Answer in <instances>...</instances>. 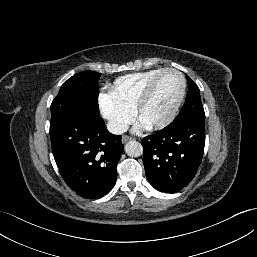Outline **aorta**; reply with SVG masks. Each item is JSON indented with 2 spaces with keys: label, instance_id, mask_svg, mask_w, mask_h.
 Wrapping results in <instances>:
<instances>
[{
  "label": "aorta",
  "instance_id": "762f6f07",
  "mask_svg": "<svg viewBox=\"0 0 257 257\" xmlns=\"http://www.w3.org/2000/svg\"><path fill=\"white\" fill-rule=\"evenodd\" d=\"M125 152L130 157H139L143 153V147H142L141 143H139L137 141H134V140L129 141L125 145Z\"/></svg>",
  "mask_w": 257,
  "mask_h": 257
}]
</instances>
